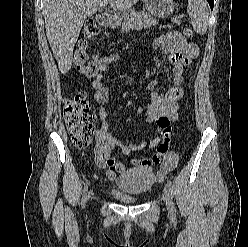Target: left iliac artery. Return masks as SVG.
<instances>
[{
  "mask_svg": "<svg viewBox=\"0 0 248 247\" xmlns=\"http://www.w3.org/2000/svg\"><path fill=\"white\" fill-rule=\"evenodd\" d=\"M167 183L168 185L170 186L171 188V191H172V182L170 180H167ZM172 213L175 214L176 213V208L174 206V203L172 202Z\"/></svg>",
  "mask_w": 248,
  "mask_h": 247,
  "instance_id": "left-iliac-artery-1",
  "label": "left iliac artery"
}]
</instances>
